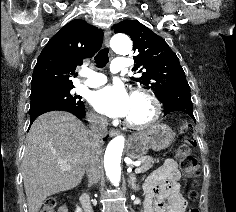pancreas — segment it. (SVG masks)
<instances>
[{
	"mask_svg": "<svg viewBox=\"0 0 236 212\" xmlns=\"http://www.w3.org/2000/svg\"><path fill=\"white\" fill-rule=\"evenodd\" d=\"M138 160L141 162V172H145L148 171L150 168H152L153 163L156 161L155 159H153L152 157L149 156H140L138 158ZM158 162V160H157Z\"/></svg>",
	"mask_w": 236,
	"mask_h": 212,
	"instance_id": "pancreas-1",
	"label": "pancreas"
}]
</instances>
